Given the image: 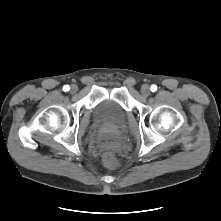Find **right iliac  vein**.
<instances>
[{"instance_id":"right-iliac-vein-1","label":"right iliac vein","mask_w":221,"mask_h":221,"mask_svg":"<svg viewBox=\"0 0 221 221\" xmlns=\"http://www.w3.org/2000/svg\"><path fill=\"white\" fill-rule=\"evenodd\" d=\"M70 91L71 93H76L78 91V87L76 85H72Z\"/></svg>"}]
</instances>
